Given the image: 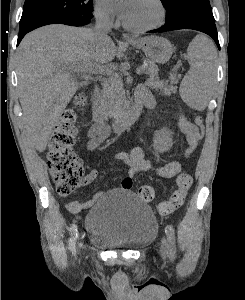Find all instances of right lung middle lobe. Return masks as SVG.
Returning a JSON list of instances; mask_svg holds the SVG:
<instances>
[{"mask_svg": "<svg viewBox=\"0 0 245 300\" xmlns=\"http://www.w3.org/2000/svg\"><path fill=\"white\" fill-rule=\"evenodd\" d=\"M92 0H25L19 34L59 21L93 18Z\"/></svg>", "mask_w": 245, "mask_h": 300, "instance_id": "dd1d6c3e", "label": "right lung middle lobe"}]
</instances>
